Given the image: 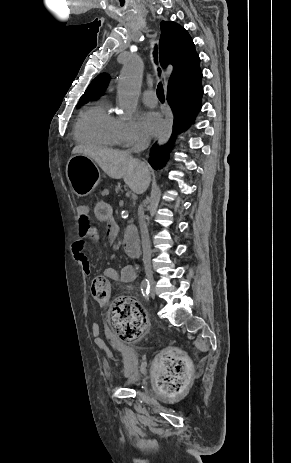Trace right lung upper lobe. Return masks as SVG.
I'll return each instance as SVG.
<instances>
[{
    "mask_svg": "<svg viewBox=\"0 0 291 463\" xmlns=\"http://www.w3.org/2000/svg\"><path fill=\"white\" fill-rule=\"evenodd\" d=\"M161 36L159 41V59L162 67L169 64L173 71L168 83V90L179 87H187L198 77L201 72L200 58L195 50V45L188 32L173 22H161ZM109 82L107 74H100L88 86L80 98L79 103L102 95Z\"/></svg>",
    "mask_w": 291,
    "mask_h": 463,
    "instance_id": "cb5924a9",
    "label": "right lung upper lobe"
}]
</instances>
